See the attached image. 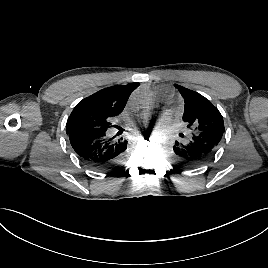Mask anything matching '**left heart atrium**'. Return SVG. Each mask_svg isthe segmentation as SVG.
I'll use <instances>...</instances> for the list:
<instances>
[{
    "mask_svg": "<svg viewBox=\"0 0 268 268\" xmlns=\"http://www.w3.org/2000/svg\"><path fill=\"white\" fill-rule=\"evenodd\" d=\"M168 119H169V117L164 115L161 117L160 121L163 123V122H166Z\"/></svg>",
    "mask_w": 268,
    "mask_h": 268,
    "instance_id": "left-heart-atrium-1",
    "label": "left heart atrium"
}]
</instances>
